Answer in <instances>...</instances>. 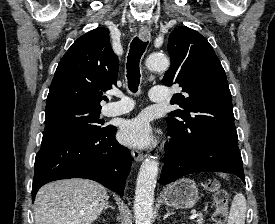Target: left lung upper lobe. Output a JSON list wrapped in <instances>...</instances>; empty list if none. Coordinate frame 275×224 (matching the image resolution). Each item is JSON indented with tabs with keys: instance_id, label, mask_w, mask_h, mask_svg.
Listing matches in <instances>:
<instances>
[{
	"instance_id": "5c2ea615",
	"label": "left lung upper lobe",
	"mask_w": 275,
	"mask_h": 224,
	"mask_svg": "<svg viewBox=\"0 0 275 224\" xmlns=\"http://www.w3.org/2000/svg\"><path fill=\"white\" fill-rule=\"evenodd\" d=\"M171 66L162 82L179 84L171 104L182 109L167 117L168 128L185 136L206 132L237 137L231 92L225 71L207 39L186 26L175 29L168 42Z\"/></svg>"
}]
</instances>
